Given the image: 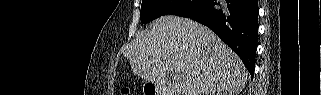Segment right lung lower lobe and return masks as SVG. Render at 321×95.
<instances>
[{"instance_id": "obj_1", "label": "right lung lower lobe", "mask_w": 321, "mask_h": 95, "mask_svg": "<svg viewBox=\"0 0 321 95\" xmlns=\"http://www.w3.org/2000/svg\"><path fill=\"white\" fill-rule=\"evenodd\" d=\"M257 0H207L187 16L208 26L241 58L253 76L258 38Z\"/></svg>"}]
</instances>
